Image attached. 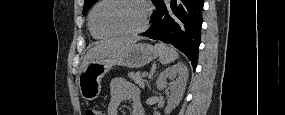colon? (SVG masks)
I'll return each mask as SVG.
<instances>
[{
    "label": "colon",
    "instance_id": "obj_1",
    "mask_svg": "<svg viewBox=\"0 0 285 115\" xmlns=\"http://www.w3.org/2000/svg\"><path fill=\"white\" fill-rule=\"evenodd\" d=\"M103 113L94 107H91L87 110L86 115H102Z\"/></svg>",
    "mask_w": 285,
    "mask_h": 115
}]
</instances>
